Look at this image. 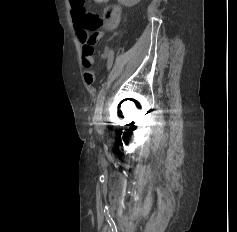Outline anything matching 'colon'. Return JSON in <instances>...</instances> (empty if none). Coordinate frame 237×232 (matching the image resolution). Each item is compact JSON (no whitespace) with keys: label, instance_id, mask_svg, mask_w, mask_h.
<instances>
[{"label":"colon","instance_id":"obj_1","mask_svg":"<svg viewBox=\"0 0 237 232\" xmlns=\"http://www.w3.org/2000/svg\"><path fill=\"white\" fill-rule=\"evenodd\" d=\"M72 14L75 27L80 38L94 43L98 38L96 31L102 24V19L94 14L89 13L85 8V0H71ZM116 16L113 7H106L103 11V19L108 20ZM93 33L89 35V33Z\"/></svg>","mask_w":237,"mask_h":232}]
</instances>
